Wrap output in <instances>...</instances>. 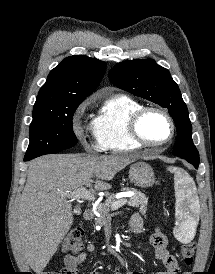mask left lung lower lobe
Wrapping results in <instances>:
<instances>
[{"label": "left lung lower lobe", "instance_id": "0a47b994", "mask_svg": "<svg viewBox=\"0 0 215 274\" xmlns=\"http://www.w3.org/2000/svg\"><path fill=\"white\" fill-rule=\"evenodd\" d=\"M187 160V159H185ZM189 163H191L196 169L198 168L200 161H194V160H187Z\"/></svg>", "mask_w": 215, "mask_h": 274}]
</instances>
